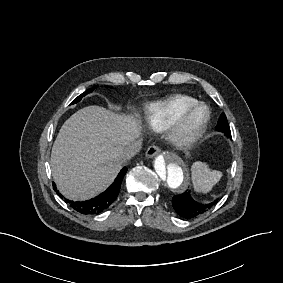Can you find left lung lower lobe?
Listing matches in <instances>:
<instances>
[{"instance_id": "1", "label": "left lung lower lobe", "mask_w": 283, "mask_h": 283, "mask_svg": "<svg viewBox=\"0 0 283 283\" xmlns=\"http://www.w3.org/2000/svg\"><path fill=\"white\" fill-rule=\"evenodd\" d=\"M216 129L224 133L227 138L231 139V131L224 113L221 114ZM217 201L218 199L209 204H200L192 199L190 191H186L183 194L174 196L172 198V205L180 216L190 219L205 213L215 205Z\"/></svg>"}]
</instances>
